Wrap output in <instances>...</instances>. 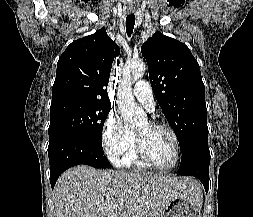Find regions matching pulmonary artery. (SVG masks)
<instances>
[{
	"instance_id": "obj_1",
	"label": "pulmonary artery",
	"mask_w": 253,
	"mask_h": 217,
	"mask_svg": "<svg viewBox=\"0 0 253 217\" xmlns=\"http://www.w3.org/2000/svg\"><path fill=\"white\" fill-rule=\"evenodd\" d=\"M133 95L135 98L141 102L149 111L154 110V98L151 86L146 81H139L137 82L133 89H132Z\"/></svg>"
}]
</instances>
